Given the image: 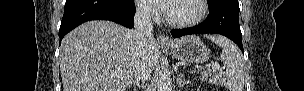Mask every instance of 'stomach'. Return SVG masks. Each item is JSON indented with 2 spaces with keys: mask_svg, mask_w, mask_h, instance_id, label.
I'll return each mask as SVG.
<instances>
[{
  "mask_svg": "<svg viewBox=\"0 0 304 91\" xmlns=\"http://www.w3.org/2000/svg\"><path fill=\"white\" fill-rule=\"evenodd\" d=\"M174 58L188 64H201L209 59L210 51L197 36H185L163 47Z\"/></svg>",
  "mask_w": 304,
  "mask_h": 91,
  "instance_id": "0dacf381",
  "label": "stomach"
}]
</instances>
